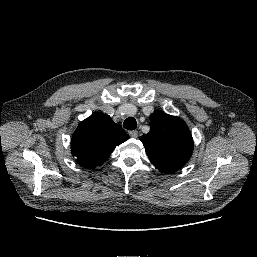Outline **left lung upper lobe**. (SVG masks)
<instances>
[{
    "mask_svg": "<svg viewBox=\"0 0 257 257\" xmlns=\"http://www.w3.org/2000/svg\"><path fill=\"white\" fill-rule=\"evenodd\" d=\"M140 140L150 161L163 173L179 170L193 151V139L186 123L161 111L150 115V131Z\"/></svg>",
    "mask_w": 257,
    "mask_h": 257,
    "instance_id": "obj_1",
    "label": "left lung upper lobe"
}]
</instances>
